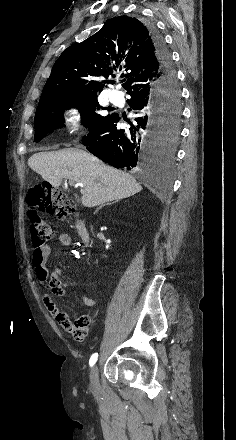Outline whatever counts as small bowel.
I'll list each match as a JSON object with an SVG mask.
<instances>
[{"mask_svg": "<svg viewBox=\"0 0 236 440\" xmlns=\"http://www.w3.org/2000/svg\"><path fill=\"white\" fill-rule=\"evenodd\" d=\"M58 243L62 247H69L72 243V238L68 233H61L58 235ZM51 253V245L46 243L42 246L35 247L31 256V264L34 268L35 275L39 283L46 289V292L42 296L43 303L47 311L56 319L59 323L60 330H66L77 341H84L88 335V330H93V321L89 320L87 315H83L77 320L71 321L68 315L60 310L53 300L52 295L62 296L66 289L70 286L69 281H63L61 279L62 271L55 269L50 277L45 267L47 259ZM82 301L87 307H93L95 300L88 295H82ZM68 319L69 321H62Z\"/></svg>", "mask_w": 236, "mask_h": 440, "instance_id": "obj_1", "label": "small bowel"}]
</instances>
